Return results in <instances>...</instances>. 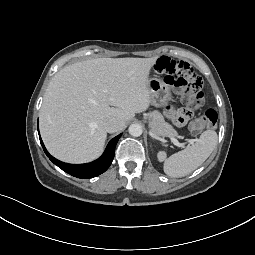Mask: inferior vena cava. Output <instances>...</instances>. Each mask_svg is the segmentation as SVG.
<instances>
[{"instance_id":"1","label":"inferior vena cava","mask_w":255,"mask_h":255,"mask_svg":"<svg viewBox=\"0 0 255 255\" xmlns=\"http://www.w3.org/2000/svg\"><path fill=\"white\" fill-rule=\"evenodd\" d=\"M123 126V122L116 119V118H110L104 122V127L107 132L114 133L119 131Z\"/></svg>"}]
</instances>
